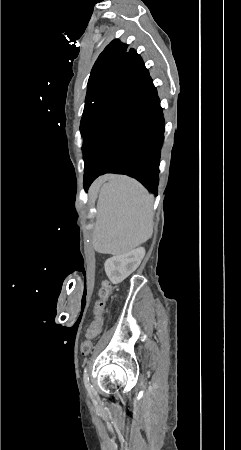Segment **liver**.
Here are the masks:
<instances>
[{"instance_id":"1","label":"liver","mask_w":241,"mask_h":450,"mask_svg":"<svg viewBox=\"0 0 241 450\" xmlns=\"http://www.w3.org/2000/svg\"><path fill=\"white\" fill-rule=\"evenodd\" d=\"M110 178H112V176H110ZM110 178H107V180H110Z\"/></svg>"}]
</instances>
